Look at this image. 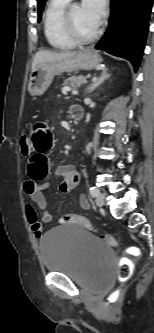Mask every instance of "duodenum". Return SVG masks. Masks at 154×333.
<instances>
[{
	"label": "duodenum",
	"instance_id": "1",
	"mask_svg": "<svg viewBox=\"0 0 154 333\" xmlns=\"http://www.w3.org/2000/svg\"><path fill=\"white\" fill-rule=\"evenodd\" d=\"M83 116H84V111L81 107H74L71 110V117L74 121L82 120Z\"/></svg>",
	"mask_w": 154,
	"mask_h": 333
}]
</instances>
